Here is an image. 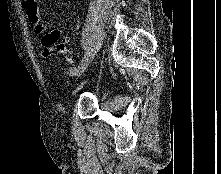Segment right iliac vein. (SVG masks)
<instances>
[{
  "mask_svg": "<svg viewBox=\"0 0 221 174\" xmlns=\"http://www.w3.org/2000/svg\"><path fill=\"white\" fill-rule=\"evenodd\" d=\"M93 58H94V54L90 55V58H85L84 60H82L80 66L75 74L77 79L81 76V74L84 72V70L87 68V66L91 62V59H93Z\"/></svg>",
  "mask_w": 221,
  "mask_h": 174,
  "instance_id": "1",
  "label": "right iliac vein"
}]
</instances>
